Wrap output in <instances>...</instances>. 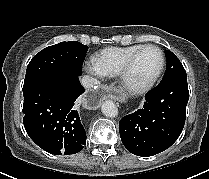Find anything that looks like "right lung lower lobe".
Masks as SVG:
<instances>
[{
  "label": "right lung lower lobe",
  "mask_w": 209,
  "mask_h": 179,
  "mask_svg": "<svg viewBox=\"0 0 209 179\" xmlns=\"http://www.w3.org/2000/svg\"><path fill=\"white\" fill-rule=\"evenodd\" d=\"M79 76L65 72L51 75L24 97L26 132L48 153L75 154L86 144V132L74 107L84 93Z\"/></svg>",
  "instance_id": "obj_1"
}]
</instances>
